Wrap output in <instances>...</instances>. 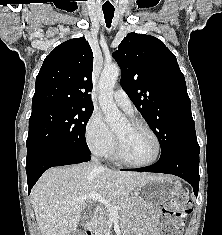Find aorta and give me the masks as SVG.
Returning <instances> with one entry per match:
<instances>
[{
    "mask_svg": "<svg viewBox=\"0 0 222 235\" xmlns=\"http://www.w3.org/2000/svg\"><path fill=\"white\" fill-rule=\"evenodd\" d=\"M120 75L117 65L105 66L99 80V104L110 126H116L124 120V115L113 100V89Z\"/></svg>",
    "mask_w": 222,
    "mask_h": 235,
    "instance_id": "obj_1",
    "label": "aorta"
}]
</instances>
